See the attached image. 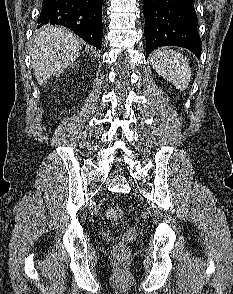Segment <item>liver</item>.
Masks as SVG:
<instances>
[{"label": "liver", "mask_w": 233, "mask_h": 294, "mask_svg": "<svg viewBox=\"0 0 233 294\" xmlns=\"http://www.w3.org/2000/svg\"><path fill=\"white\" fill-rule=\"evenodd\" d=\"M81 48V40L65 28L47 25L39 30L31 49L32 68L38 84L72 65Z\"/></svg>", "instance_id": "6515ba94"}]
</instances>
